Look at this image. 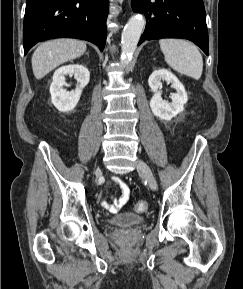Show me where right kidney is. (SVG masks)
<instances>
[{
	"label": "right kidney",
	"mask_w": 243,
	"mask_h": 289,
	"mask_svg": "<svg viewBox=\"0 0 243 289\" xmlns=\"http://www.w3.org/2000/svg\"><path fill=\"white\" fill-rule=\"evenodd\" d=\"M74 75L78 84L75 91L67 92L63 89L66 84L65 76ZM90 73L86 67L80 64H70L58 68L53 75V81L50 86L51 101L53 105L61 112L73 110L82 93V89L89 83Z\"/></svg>",
	"instance_id": "ca27d5eb"
}]
</instances>
